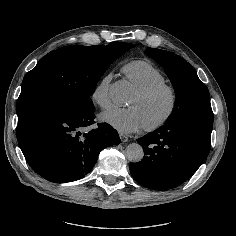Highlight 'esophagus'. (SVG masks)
I'll return each instance as SVG.
<instances>
[{
	"mask_svg": "<svg viewBox=\"0 0 236 236\" xmlns=\"http://www.w3.org/2000/svg\"><path fill=\"white\" fill-rule=\"evenodd\" d=\"M119 137H120L122 142H127L128 141V137L126 135H124L123 133H119Z\"/></svg>",
	"mask_w": 236,
	"mask_h": 236,
	"instance_id": "esophagus-1",
	"label": "esophagus"
}]
</instances>
